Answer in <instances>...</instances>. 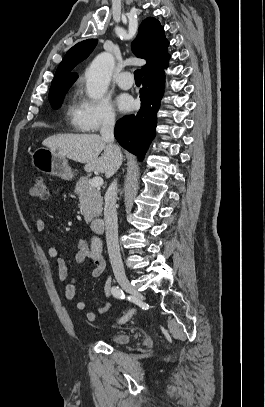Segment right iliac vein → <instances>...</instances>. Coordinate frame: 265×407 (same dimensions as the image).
<instances>
[{
    "instance_id": "right-iliac-vein-1",
    "label": "right iliac vein",
    "mask_w": 265,
    "mask_h": 407,
    "mask_svg": "<svg viewBox=\"0 0 265 407\" xmlns=\"http://www.w3.org/2000/svg\"><path fill=\"white\" fill-rule=\"evenodd\" d=\"M120 286L128 293H130L135 299H142V295L132 286L126 277H120L117 279ZM134 313V310L130 311L122 320V322L127 321Z\"/></svg>"
}]
</instances>
